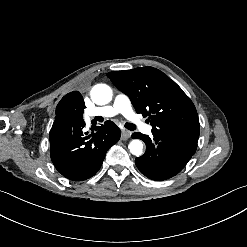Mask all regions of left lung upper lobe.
Instances as JSON below:
<instances>
[{"label": "left lung upper lobe", "instance_id": "5c2ea615", "mask_svg": "<svg viewBox=\"0 0 247 247\" xmlns=\"http://www.w3.org/2000/svg\"><path fill=\"white\" fill-rule=\"evenodd\" d=\"M107 76L129 96L137 113L149 115L154 136L195 153L198 115L190 98L174 81L153 67L114 71Z\"/></svg>", "mask_w": 247, "mask_h": 247}]
</instances>
